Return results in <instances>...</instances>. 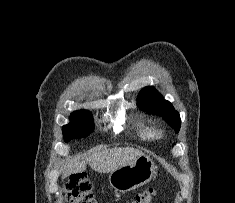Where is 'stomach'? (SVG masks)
I'll return each instance as SVG.
<instances>
[{
  "label": "stomach",
  "instance_id": "1",
  "mask_svg": "<svg viewBox=\"0 0 235 203\" xmlns=\"http://www.w3.org/2000/svg\"><path fill=\"white\" fill-rule=\"evenodd\" d=\"M155 173L152 159L142 155L131 164L122 166L109 174V183L116 191L125 193L148 183Z\"/></svg>",
  "mask_w": 235,
  "mask_h": 203
}]
</instances>
